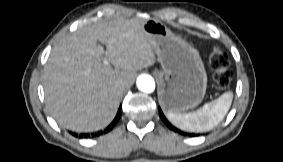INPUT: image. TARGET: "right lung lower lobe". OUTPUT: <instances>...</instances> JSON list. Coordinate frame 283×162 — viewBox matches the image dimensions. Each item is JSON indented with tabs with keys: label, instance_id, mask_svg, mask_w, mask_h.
Returning a JSON list of instances; mask_svg holds the SVG:
<instances>
[{
	"label": "right lung lower lobe",
	"instance_id": "98d812e1",
	"mask_svg": "<svg viewBox=\"0 0 283 162\" xmlns=\"http://www.w3.org/2000/svg\"><path fill=\"white\" fill-rule=\"evenodd\" d=\"M120 116H121V114H120V110H119L115 119L113 120V122L107 127L106 132L110 131L114 127L115 123L119 120ZM100 133H102V132H100Z\"/></svg>",
	"mask_w": 283,
	"mask_h": 162
}]
</instances>
